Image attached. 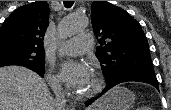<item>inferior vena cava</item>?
Here are the masks:
<instances>
[{"label":"inferior vena cava","mask_w":171,"mask_h":110,"mask_svg":"<svg viewBox=\"0 0 171 110\" xmlns=\"http://www.w3.org/2000/svg\"><path fill=\"white\" fill-rule=\"evenodd\" d=\"M51 87L56 95V99H55L56 110H64L66 106V99L61 84L56 82L53 83Z\"/></svg>","instance_id":"602c4592"}]
</instances>
